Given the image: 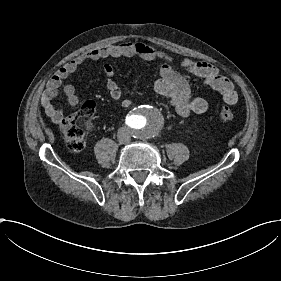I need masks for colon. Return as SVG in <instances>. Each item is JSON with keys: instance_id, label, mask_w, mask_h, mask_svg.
Wrapping results in <instances>:
<instances>
[{"instance_id": "obj_1", "label": "colon", "mask_w": 281, "mask_h": 281, "mask_svg": "<svg viewBox=\"0 0 281 281\" xmlns=\"http://www.w3.org/2000/svg\"><path fill=\"white\" fill-rule=\"evenodd\" d=\"M218 118L223 123H232L235 119V113L228 107H221ZM63 133L72 151L79 152L83 150L86 130L79 120L74 117L66 119L63 124Z\"/></svg>"}]
</instances>
